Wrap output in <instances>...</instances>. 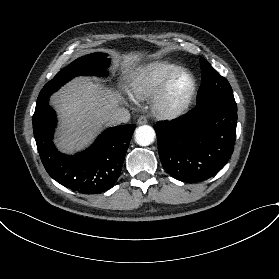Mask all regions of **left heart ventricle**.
I'll list each match as a JSON object with an SVG mask.
<instances>
[{
    "label": "left heart ventricle",
    "mask_w": 279,
    "mask_h": 279,
    "mask_svg": "<svg viewBox=\"0 0 279 279\" xmlns=\"http://www.w3.org/2000/svg\"><path fill=\"white\" fill-rule=\"evenodd\" d=\"M191 88V80L186 74L180 75L173 83L170 92V101L172 103H178L184 99Z\"/></svg>",
    "instance_id": "left-heart-ventricle-1"
}]
</instances>
